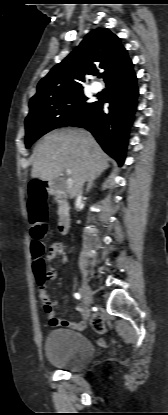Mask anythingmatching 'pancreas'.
I'll return each mask as SVG.
<instances>
[{
  "mask_svg": "<svg viewBox=\"0 0 168 415\" xmlns=\"http://www.w3.org/2000/svg\"><path fill=\"white\" fill-rule=\"evenodd\" d=\"M67 209H69V207H67ZM65 209H59L58 210V214L61 216L64 213Z\"/></svg>",
  "mask_w": 168,
  "mask_h": 415,
  "instance_id": "cf45deb5",
  "label": "pancreas"
}]
</instances>
